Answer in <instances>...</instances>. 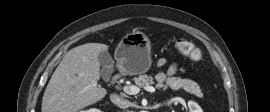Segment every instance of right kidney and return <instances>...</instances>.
Listing matches in <instances>:
<instances>
[{"instance_id":"1","label":"right kidney","mask_w":270,"mask_h":112,"mask_svg":"<svg viewBox=\"0 0 270 112\" xmlns=\"http://www.w3.org/2000/svg\"><path fill=\"white\" fill-rule=\"evenodd\" d=\"M81 112H101L99 109L91 108L89 110L81 111Z\"/></svg>"}]
</instances>
